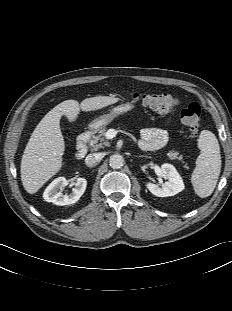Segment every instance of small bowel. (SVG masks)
I'll return each mask as SVG.
<instances>
[{
    "mask_svg": "<svg viewBox=\"0 0 232 311\" xmlns=\"http://www.w3.org/2000/svg\"><path fill=\"white\" fill-rule=\"evenodd\" d=\"M169 139L168 131L163 128H145L141 131L139 146L146 151H154L164 147Z\"/></svg>",
    "mask_w": 232,
    "mask_h": 311,
    "instance_id": "c3829d8e",
    "label": "small bowel"
}]
</instances>
